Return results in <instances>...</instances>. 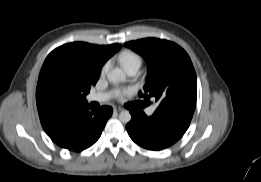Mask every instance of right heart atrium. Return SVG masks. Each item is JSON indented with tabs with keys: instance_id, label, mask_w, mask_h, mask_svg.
<instances>
[{
	"instance_id": "right-heart-atrium-1",
	"label": "right heart atrium",
	"mask_w": 261,
	"mask_h": 182,
	"mask_svg": "<svg viewBox=\"0 0 261 182\" xmlns=\"http://www.w3.org/2000/svg\"><path fill=\"white\" fill-rule=\"evenodd\" d=\"M107 69H108V65L105 64L102 69H101V75H104L106 72H107Z\"/></svg>"
}]
</instances>
